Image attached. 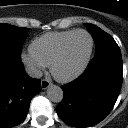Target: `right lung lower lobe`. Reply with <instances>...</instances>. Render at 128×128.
Instances as JSON below:
<instances>
[{
    "label": "right lung lower lobe",
    "instance_id": "1",
    "mask_svg": "<svg viewBox=\"0 0 128 128\" xmlns=\"http://www.w3.org/2000/svg\"><path fill=\"white\" fill-rule=\"evenodd\" d=\"M40 91V80L25 73L21 60L0 53V128L22 123L31 99Z\"/></svg>",
    "mask_w": 128,
    "mask_h": 128
}]
</instances>
